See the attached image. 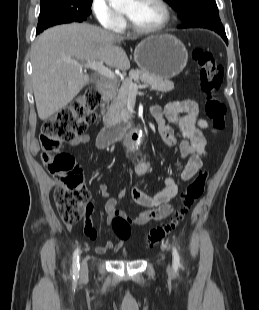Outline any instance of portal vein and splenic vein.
<instances>
[{
    "label": "portal vein and splenic vein",
    "mask_w": 259,
    "mask_h": 310,
    "mask_svg": "<svg viewBox=\"0 0 259 310\" xmlns=\"http://www.w3.org/2000/svg\"><path fill=\"white\" fill-rule=\"evenodd\" d=\"M72 64H74L75 66H78V67L90 68V69L98 72L99 74L107 77V78L116 79V75L114 74V72H112L109 68L105 67L102 62L87 61V63L84 65H81V64L76 63V62H72ZM146 87H147V85H137L135 83H130L128 86L130 92H137L138 89H143Z\"/></svg>",
    "instance_id": "portal-vein-and-splenic-vein-1"
}]
</instances>
